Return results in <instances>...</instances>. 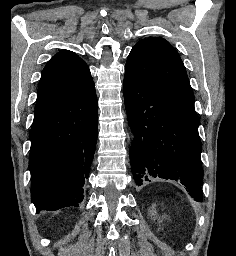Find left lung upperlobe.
Instances as JSON below:
<instances>
[{
  "mask_svg": "<svg viewBox=\"0 0 236 256\" xmlns=\"http://www.w3.org/2000/svg\"><path fill=\"white\" fill-rule=\"evenodd\" d=\"M125 70V74L194 104L183 62L175 48L163 38L139 41L128 56Z\"/></svg>",
  "mask_w": 236,
  "mask_h": 256,
  "instance_id": "1",
  "label": "left lung upper lobe"
}]
</instances>
